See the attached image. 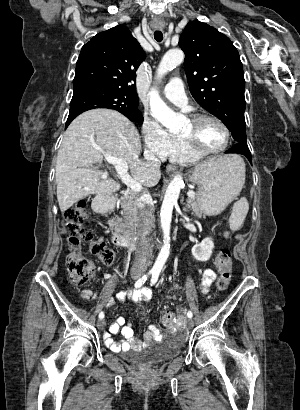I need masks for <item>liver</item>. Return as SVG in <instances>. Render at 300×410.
<instances>
[{"label": "liver", "mask_w": 300, "mask_h": 410, "mask_svg": "<svg viewBox=\"0 0 300 410\" xmlns=\"http://www.w3.org/2000/svg\"><path fill=\"white\" fill-rule=\"evenodd\" d=\"M141 140L132 122L114 110L94 109L82 113L64 133L56 163L57 200L61 212L93 194H111L120 185L98 170L87 168L101 163L104 153L126 162L132 178L154 187L160 169L139 159ZM233 155L215 156L202 164L229 160ZM201 165V164H200Z\"/></svg>", "instance_id": "obj_1"}]
</instances>
